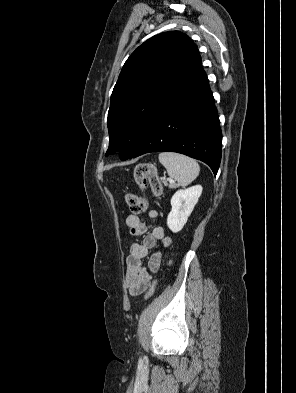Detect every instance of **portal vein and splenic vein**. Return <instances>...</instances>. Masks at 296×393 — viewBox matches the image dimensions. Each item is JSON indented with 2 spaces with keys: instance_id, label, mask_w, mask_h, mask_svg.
<instances>
[{
  "instance_id": "18ae733b",
  "label": "portal vein and splenic vein",
  "mask_w": 296,
  "mask_h": 393,
  "mask_svg": "<svg viewBox=\"0 0 296 393\" xmlns=\"http://www.w3.org/2000/svg\"><path fill=\"white\" fill-rule=\"evenodd\" d=\"M169 182H170L171 184H174L175 181H174L173 179H170Z\"/></svg>"
}]
</instances>
